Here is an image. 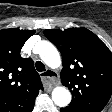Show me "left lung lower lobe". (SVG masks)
I'll return each mask as SVG.
<instances>
[{
	"mask_svg": "<svg viewBox=\"0 0 112 112\" xmlns=\"http://www.w3.org/2000/svg\"><path fill=\"white\" fill-rule=\"evenodd\" d=\"M61 112H100L96 110H87V109H79V108H74V107H65L60 109Z\"/></svg>",
	"mask_w": 112,
	"mask_h": 112,
	"instance_id": "1",
	"label": "left lung lower lobe"
}]
</instances>
